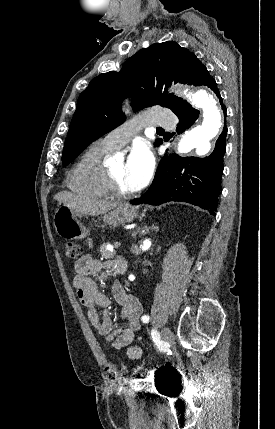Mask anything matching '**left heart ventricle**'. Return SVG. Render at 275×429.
<instances>
[{"label": "left heart ventricle", "instance_id": "b2bd125f", "mask_svg": "<svg viewBox=\"0 0 275 429\" xmlns=\"http://www.w3.org/2000/svg\"><path fill=\"white\" fill-rule=\"evenodd\" d=\"M109 168L113 173L114 177L116 178V180L118 181L119 186L125 191H132L127 185L126 179H125V162L118 161L112 164Z\"/></svg>", "mask_w": 275, "mask_h": 429}]
</instances>
